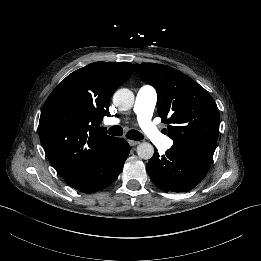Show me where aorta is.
I'll use <instances>...</instances> for the list:
<instances>
[{
	"instance_id": "obj_1",
	"label": "aorta",
	"mask_w": 261,
	"mask_h": 261,
	"mask_svg": "<svg viewBox=\"0 0 261 261\" xmlns=\"http://www.w3.org/2000/svg\"><path fill=\"white\" fill-rule=\"evenodd\" d=\"M113 103L120 110H129L134 104V94L127 88L118 89L113 95ZM137 154L141 159L148 160L152 158L154 148L150 143H141L137 147Z\"/></svg>"
}]
</instances>
